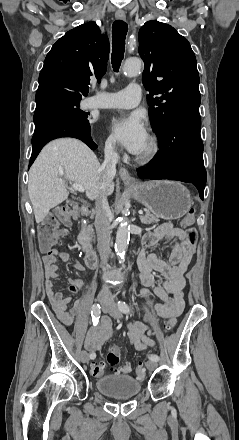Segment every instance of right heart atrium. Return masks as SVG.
<instances>
[{"instance_id": "d8ad5b80", "label": "right heart atrium", "mask_w": 239, "mask_h": 440, "mask_svg": "<svg viewBox=\"0 0 239 440\" xmlns=\"http://www.w3.org/2000/svg\"><path fill=\"white\" fill-rule=\"evenodd\" d=\"M107 151H108V152H112V151H113V145H112L111 142H108V143H107Z\"/></svg>"}]
</instances>
